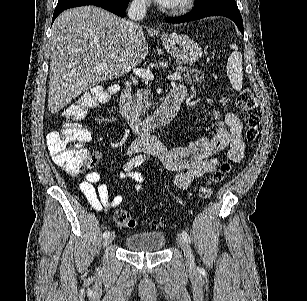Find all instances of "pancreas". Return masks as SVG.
Masks as SVG:
<instances>
[{
  "mask_svg": "<svg viewBox=\"0 0 307 301\" xmlns=\"http://www.w3.org/2000/svg\"><path fill=\"white\" fill-rule=\"evenodd\" d=\"M175 72L180 74V78L178 80H188V82H192V80H202V72H199L197 68H187V66H177L175 68ZM173 72V74H175ZM149 94H151V90L149 88H138L134 94V106L137 108V112H141V114H145L146 110H152L154 108V100H151Z\"/></svg>",
  "mask_w": 307,
  "mask_h": 301,
  "instance_id": "obj_1",
  "label": "pancreas"
}]
</instances>
